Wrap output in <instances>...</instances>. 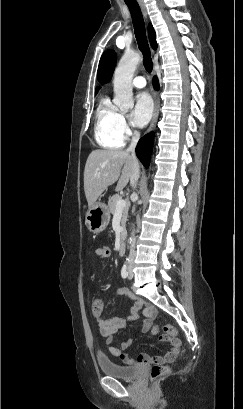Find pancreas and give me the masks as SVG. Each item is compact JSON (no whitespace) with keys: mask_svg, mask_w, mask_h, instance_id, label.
Here are the masks:
<instances>
[{"mask_svg":"<svg viewBox=\"0 0 243 409\" xmlns=\"http://www.w3.org/2000/svg\"><path fill=\"white\" fill-rule=\"evenodd\" d=\"M120 198L121 196L119 194H115L109 198L108 206L112 214L116 212V203ZM128 210H129L128 206H125V208L122 210V220H121L122 228H125V224H126L127 216H128Z\"/></svg>","mask_w":243,"mask_h":409,"instance_id":"1","label":"pancreas"}]
</instances>
